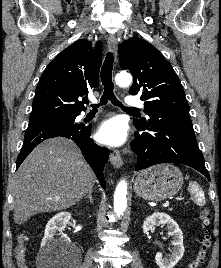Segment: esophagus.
<instances>
[{"instance_id": "1", "label": "esophagus", "mask_w": 221, "mask_h": 268, "mask_svg": "<svg viewBox=\"0 0 221 268\" xmlns=\"http://www.w3.org/2000/svg\"><path fill=\"white\" fill-rule=\"evenodd\" d=\"M108 47L109 50L116 56L117 53V40L115 38V36L110 35L108 38ZM110 161L111 164L115 167V168H120L123 165V159L120 155L119 151H114L111 153L110 156Z\"/></svg>"}]
</instances>
